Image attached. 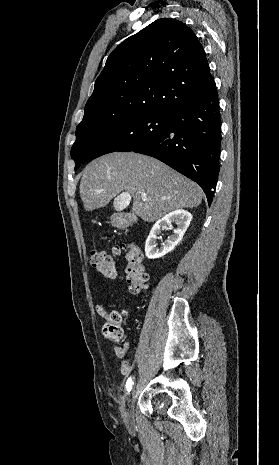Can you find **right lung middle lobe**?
<instances>
[{
  "label": "right lung middle lobe",
  "mask_w": 279,
  "mask_h": 465,
  "mask_svg": "<svg viewBox=\"0 0 279 465\" xmlns=\"http://www.w3.org/2000/svg\"><path fill=\"white\" fill-rule=\"evenodd\" d=\"M168 120L167 113L142 112L93 127L76 129V141L71 149V157L76 163L75 170L84 161L148 144L166 130Z\"/></svg>",
  "instance_id": "right-lung-middle-lobe-1"
}]
</instances>
